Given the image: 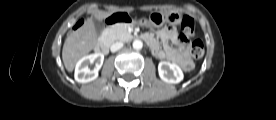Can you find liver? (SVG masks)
I'll return each mask as SVG.
<instances>
[{
    "mask_svg": "<svg viewBox=\"0 0 276 120\" xmlns=\"http://www.w3.org/2000/svg\"><path fill=\"white\" fill-rule=\"evenodd\" d=\"M111 13L98 11L95 19L101 21L109 17ZM97 35L91 19H88L76 31L68 34L62 50V59L68 72H72L75 64L87 55L96 44Z\"/></svg>",
    "mask_w": 276,
    "mask_h": 120,
    "instance_id": "liver-1",
    "label": "liver"
}]
</instances>
